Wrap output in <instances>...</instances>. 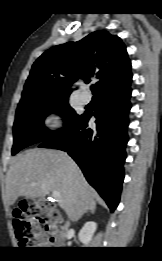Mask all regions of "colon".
Instances as JSON below:
<instances>
[{
    "instance_id": "colon-1",
    "label": "colon",
    "mask_w": 162,
    "mask_h": 261,
    "mask_svg": "<svg viewBox=\"0 0 162 261\" xmlns=\"http://www.w3.org/2000/svg\"><path fill=\"white\" fill-rule=\"evenodd\" d=\"M13 226L22 248L48 246L50 240L41 225L56 224L60 213L47 199H30L14 211Z\"/></svg>"
}]
</instances>
